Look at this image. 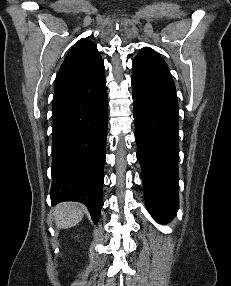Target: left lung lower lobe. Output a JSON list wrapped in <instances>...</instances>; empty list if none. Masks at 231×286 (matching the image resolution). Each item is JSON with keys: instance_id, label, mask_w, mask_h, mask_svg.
I'll return each instance as SVG.
<instances>
[{"instance_id": "1", "label": "left lung lower lobe", "mask_w": 231, "mask_h": 286, "mask_svg": "<svg viewBox=\"0 0 231 286\" xmlns=\"http://www.w3.org/2000/svg\"><path fill=\"white\" fill-rule=\"evenodd\" d=\"M132 73L137 158L146 206L169 220L178 210V102L168 67L134 59Z\"/></svg>"}]
</instances>
